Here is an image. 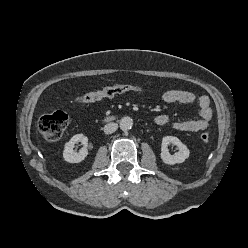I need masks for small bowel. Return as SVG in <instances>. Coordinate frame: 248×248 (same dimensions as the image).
Segmentation results:
<instances>
[{
	"label": "small bowel",
	"instance_id": "obj_1",
	"mask_svg": "<svg viewBox=\"0 0 248 248\" xmlns=\"http://www.w3.org/2000/svg\"><path fill=\"white\" fill-rule=\"evenodd\" d=\"M160 98L165 103L192 104L197 103L200 117L174 121L168 115L160 114L155 117V123L159 126L171 125L174 129L184 132H197L205 130L212 118V108L208 96L197 97L195 93L187 90H165L160 94Z\"/></svg>",
	"mask_w": 248,
	"mask_h": 248
}]
</instances>
